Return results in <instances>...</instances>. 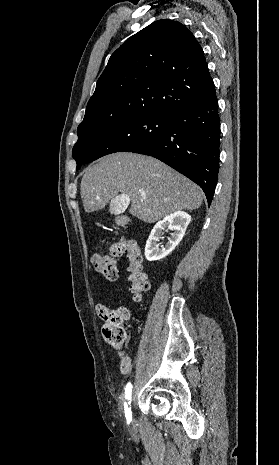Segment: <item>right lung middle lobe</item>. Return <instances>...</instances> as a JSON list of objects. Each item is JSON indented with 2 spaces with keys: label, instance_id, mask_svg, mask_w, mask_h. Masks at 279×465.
<instances>
[{
  "label": "right lung middle lobe",
  "instance_id": "dd1d6c3e",
  "mask_svg": "<svg viewBox=\"0 0 279 465\" xmlns=\"http://www.w3.org/2000/svg\"><path fill=\"white\" fill-rule=\"evenodd\" d=\"M169 122L168 114L143 113L78 130V141L72 151L76 169L110 153L144 147L163 134Z\"/></svg>",
  "mask_w": 279,
  "mask_h": 465
}]
</instances>
